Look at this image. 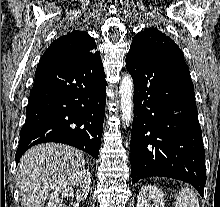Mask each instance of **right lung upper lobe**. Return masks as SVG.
Segmentation results:
<instances>
[{"instance_id":"1","label":"right lung upper lobe","mask_w":220,"mask_h":207,"mask_svg":"<svg viewBox=\"0 0 220 207\" xmlns=\"http://www.w3.org/2000/svg\"><path fill=\"white\" fill-rule=\"evenodd\" d=\"M95 48L93 37L87 32L75 30L53 41L38 65L63 64L81 60L93 55L92 50Z\"/></svg>"}]
</instances>
